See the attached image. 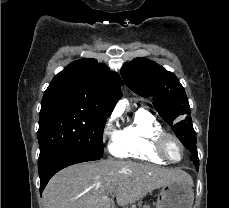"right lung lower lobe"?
Returning <instances> with one entry per match:
<instances>
[{
	"label": "right lung lower lobe",
	"instance_id": "obj_1",
	"mask_svg": "<svg viewBox=\"0 0 229 208\" xmlns=\"http://www.w3.org/2000/svg\"><path fill=\"white\" fill-rule=\"evenodd\" d=\"M101 158L74 148H64L53 152L49 157L38 163L40 193H42L49 179L61 169L76 163L94 161Z\"/></svg>",
	"mask_w": 229,
	"mask_h": 208
}]
</instances>
